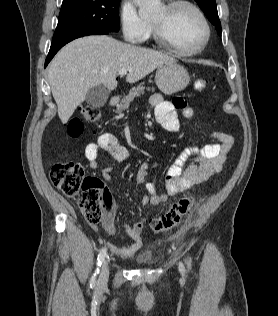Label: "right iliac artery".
Listing matches in <instances>:
<instances>
[{"label": "right iliac artery", "instance_id": "82829eb1", "mask_svg": "<svg viewBox=\"0 0 278 316\" xmlns=\"http://www.w3.org/2000/svg\"><path fill=\"white\" fill-rule=\"evenodd\" d=\"M107 251L106 248H103L100 253L98 254L97 257V265L98 267L101 266L102 262L104 261L105 257H106ZM99 273V268H97V270L95 271V274L92 276L91 278V283L94 284L95 283V279H96V275Z\"/></svg>", "mask_w": 278, "mask_h": 316}]
</instances>
